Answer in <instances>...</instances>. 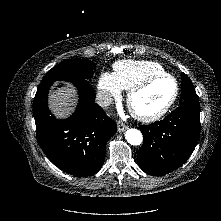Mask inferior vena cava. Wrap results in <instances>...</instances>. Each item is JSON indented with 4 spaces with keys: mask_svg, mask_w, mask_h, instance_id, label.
Returning <instances> with one entry per match:
<instances>
[{
    "mask_svg": "<svg viewBox=\"0 0 221 221\" xmlns=\"http://www.w3.org/2000/svg\"><path fill=\"white\" fill-rule=\"evenodd\" d=\"M112 101H113V98L111 94L105 90L99 91L96 94V103L100 107H107L112 103Z\"/></svg>",
    "mask_w": 221,
    "mask_h": 221,
    "instance_id": "obj_1",
    "label": "inferior vena cava"
}]
</instances>
